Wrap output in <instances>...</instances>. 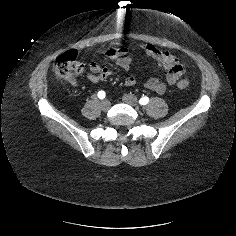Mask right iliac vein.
<instances>
[{"instance_id":"1","label":"right iliac vein","mask_w":236,"mask_h":236,"mask_svg":"<svg viewBox=\"0 0 236 236\" xmlns=\"http://www.w3.org/2000/svg\"><path fill=\"white\" fill-rule=\"evenodd\" d=\"M110 106H111V103H110V101H108V100H103V101L101 102V109H102L103 111H108V110L110 109Z\"/></svg>"}]
</instances>
